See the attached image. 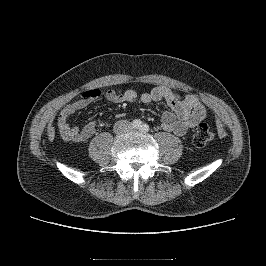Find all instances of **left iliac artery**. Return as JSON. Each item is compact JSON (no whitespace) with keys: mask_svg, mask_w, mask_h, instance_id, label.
I'll return each instance as SVG.
<instances>
[{"mask_svg":"<svg viewBox=\"0 0 266 266\" xmlns=\"http://www.w3.org/2000/svg\"><path fill=\"white\" fill-rule=\"evenodd\" d=\"M140 130L142 132H148L149 131V125L147 124H142L141 127H140Z\"/></svg>","mask_w":266,"mask_h":266,"instance_id":"left-iliac-artery-1","label":"left iliac artery"}]
</instances>
